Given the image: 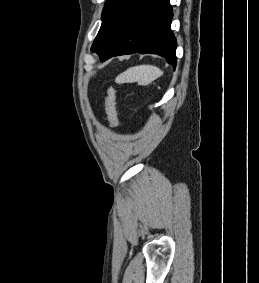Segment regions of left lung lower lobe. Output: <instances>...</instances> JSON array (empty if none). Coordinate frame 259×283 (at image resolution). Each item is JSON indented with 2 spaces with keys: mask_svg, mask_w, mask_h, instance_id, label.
<instances>
[{
  "mask_svg": "<svg viewBox=\"0 0 259 283\" xmlns=\"http://www.w3.org/2000/svg\"><path fill=\"white\" fill-rule=\"evenodd\" d=\"M169 0H124L91 51L101 61L124 54H158L176 66Z\"/></svg>",
  "mask_w": 259,
  "mask_h": 283,
  "instance_id": "0a47b994",
  "label": "left lung lower lobe"
}]
</instances>
